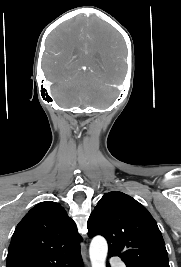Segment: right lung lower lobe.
I'll list each match as a JSON object with an SVG mask.
<instances>
[{
  "label": "right lung lower lobe",
  "instance_id": "right-lung-lower-lobe-1",
  "mask_svg": "<svg viewBox=\"0 0 181 267\" xmlns=\"http://www.w3.org/2000/svg\"><path fill=\"white\" fill-rule=\"evenodd\" d=\"M52 267H84L80 251L55 263Z\"/></svg>",
  "mask_w": 181,
  "mask_h": 267
}]
</instances>
